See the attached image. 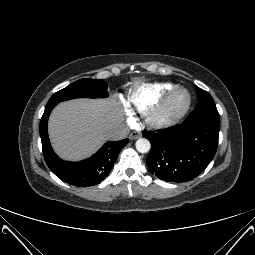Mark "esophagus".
Masks as SVG:
<instances>
[{
	"instance_id": "1",
	"label": "esophagus",
	"mask_w": 255,
	"mask_h": 255,
	"mask_svg": "<svg viewBox=\"0 0 255 255\" xmlns=\"http://www.w3.org/2000/svg\"><path fill=\"white\" fill-rule=\"evenodd\" d=\"M142 136V133L141 132H138V131H134L132 132L130 135H129V138L131 140H136L138 138H140Z\"/></svg>"
}]
</instances>
